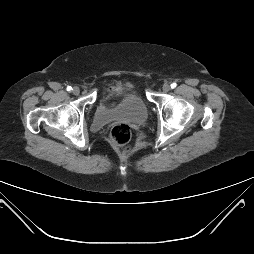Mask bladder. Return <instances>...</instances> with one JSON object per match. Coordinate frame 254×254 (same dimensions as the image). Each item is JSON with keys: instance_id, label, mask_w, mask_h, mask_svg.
Here are the masks:
<instances>
[{"instance_id": "31cf9c89", "label": "bladder", "mask_w": 254, "mask_h": 254, "mask_svg": "<svg viewBox=\"0 0 254 254\" xmlns=\"http://www.w3.org/2000/svg\"><path fill=\"white\" fill-rule=\"evenodd\" d=\"M147 116L148 109L144 100L139 95L132 94L113 108L98 107L93 117V123L101 127L118 119L142 122Z\"/></svg>"}]
</instances>
